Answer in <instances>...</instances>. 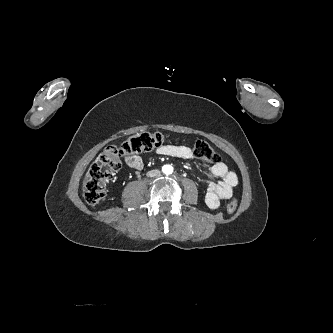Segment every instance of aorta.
I'll list each match as a JSON object with an SVG mask.
<instances>
[{
  "label": "aorta",
  "mask_w": 333,
  "mask_h": 333,
  "mask_svg": "<svg viewBox=\"0 0 333 333\" xmlns=\"http://www.w3.org/2000/svg\"><path fill=\"white\" fill-rule=\"evenodd\" d=\"M162 171L164 174L166 175H170L173 173V167L170 166V165H164L163 168H162Z\"/></svg>",
  "instance_id": "obj_1"
}]
</instances>
